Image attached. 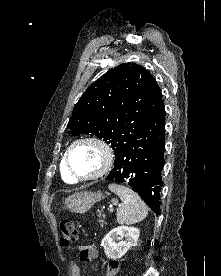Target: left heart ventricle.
Returning a JSON list of instances; mask_svg holds the SVG:
<instances>
[{"instance_id":"obj_1","label":"left heart ventricle","mask_w":221,"mask_h":276,"mask_svg":"<svg viewBox=\"0 0 221 276\" xmlns=\"http://www.w3.org/2000/svg\"><path fill=\"white\" fill-rule=\"evenodd\" d=\"M103 156L101 151L92 144H80L70 153V165L79 176L91 175L99 170Z\"/></svg>"}]
</instances>
